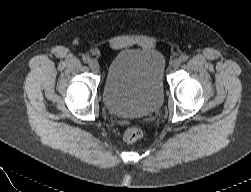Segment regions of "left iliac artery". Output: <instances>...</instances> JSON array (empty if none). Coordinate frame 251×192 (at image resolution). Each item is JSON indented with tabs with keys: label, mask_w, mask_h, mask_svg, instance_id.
I'll list each match as a JSON object with an SVG mask.
<instances>
[{
	"label": "left iliac artery",
	"mask_w": 251,
	"mask_h": 192,
	"mask_svg": "<svg viewBox=\"0 0 251 192\" xmlns=\"http://www.w3.org/2000/svg\"><path fill=\"white\" fill-rule=\"evenodd\" d=\"M188 58H189V57H188L187 55H182V56H180L179 59H180L181 62H185V61L188 60Z\"/></svg>",
	"instance_id": "left-iliac-artery-1"
}]
</instances>
